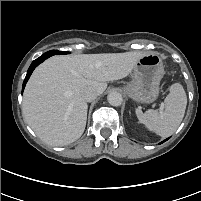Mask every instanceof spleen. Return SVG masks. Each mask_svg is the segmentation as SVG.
I'll return each instance as SVG.
<instances>
[{
	"instance_id": "3e777b00",
	"label": "spleen",
	"mask_w": 201,
	"mask_h": 201,
	"mask_svg": "<svg viewBox=\"0 0 201 201\" xmlns=\"http://www.w3.org/2000/svg\"><path fill=\"white\" fill-rule=\"evenodd\" d=\"M164 103L163 111L150 109L143 113L137 108L135 113L139 122L148 130L161 137H168L177 130L185 114L187 98L181 84L175 83L171 86Z\"/></svg>"
}]
</instances>
